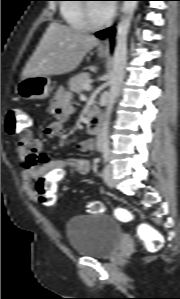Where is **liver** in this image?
<instances>
[{
  "label": "liver",
  "mask_w": 180,
  "mask_h": 299,
  "mask_svg": "<svg viewBox=\"0 0 180 299\" xmlns=\"http://www.w3.org/2000/svg\"><path fill=\"white\" fill-rule=\"evenodd\" d=\"M97 45L99 40L96 37L53 22L26 63L21 79L69 73Z\"/></svg>",
  "instance_id": "obj_1"
}]
</instances>
